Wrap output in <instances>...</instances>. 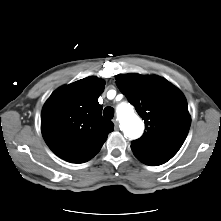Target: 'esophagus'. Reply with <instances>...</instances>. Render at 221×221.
Wrapping results in <instances>:
<instances>
[{
    "mask_svg": "<svg viewBox=\"0 0 221 221\" xmlns=\"http://www.w3.org/2000/svg\"><path fill=\"white\" fill-rule=\"evenodd\" d=\"M113 123H114L115 129L118 130L119 127H120V124H119L118 120H117V119H114V120H113Z\"/></svg>",
    "mask_w": 221,
    "mask_h": 221,
    "instance_id": "1",
    "label": "esophagus"
}]
</instances>
